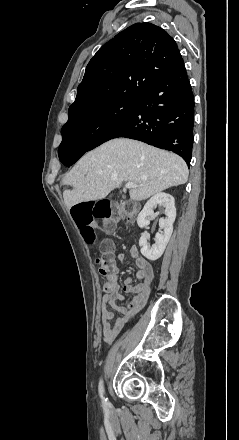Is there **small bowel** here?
<instances>
[{
  "mask_svg": "<svg viewBox=\"0 0 239 440\" xmlns=\"http://www.w3.org/2000/svg\"><path fill=\"white\" fill-rule=\"evenodd\" d=\"M130 257L136 267V271L134 276L125 278L123 287L125 293L135 295V299L130 303V310L127 311L125 307L118 304V302L124 300V297L119 291L117 276L111 281L107 280L103 287L104 295L102 298L101 318L103 339L106 344H111L128 319L145 305L152 285L153 270L150 263L139 254L136 247H131ZM117 259L120 263L125 262L123 254H119ZM134 280H139L140 282L134 285ZM107 306L119 312L120 316L115 318L114 313L107 309Z\"/></svg>",
  "mask_w": 239,
  "mask_h": 440,
  "instance_id": "obj_1",
  "label": "small bowel"
}]
</instances>
